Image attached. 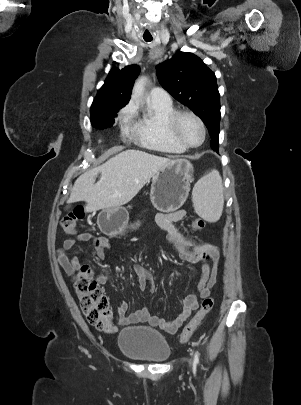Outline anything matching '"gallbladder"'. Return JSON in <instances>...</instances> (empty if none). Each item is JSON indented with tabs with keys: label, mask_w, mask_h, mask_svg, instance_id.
<instances>
[{
	"label": "gallbladder",
	"mask_w": 301,
	"mask_h": 405,
	"mask_svg": "<svg viewBox=\"0 0 301 405\" xmlns=\"http://www.w3.org/2000/svg\"><path fill=\"white\" fill-rule=\"evenodd\" d=\"M70 207H71L70 205H67V206L65 207V209L68 210Z\"/></svg>",
	"instance_id": "gallbladder-1"
}]
</instances>
